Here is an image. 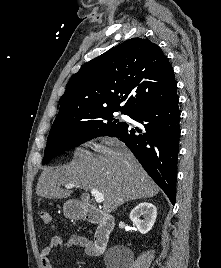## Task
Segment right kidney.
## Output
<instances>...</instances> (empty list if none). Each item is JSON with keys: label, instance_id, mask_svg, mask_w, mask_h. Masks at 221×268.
Listing matches in <instances>:
<instances>
[{"label": "right kidney", "instance_id": "1", "mask_svg": "<svg viewBox=\"0 0 221 268\" xmlns=\"http://www.w3.org/2000/svg\"><path fill=\"white\" fill-rule=\"evenodd\" d=\"M156 216V207L148 202L138 204L132 209L129 215L131 221L141 234H146L152 229ZM141 217H143V219H141Z\"/></svg>", "mask_w": 221, "mask_h": 268}]
</instances>
